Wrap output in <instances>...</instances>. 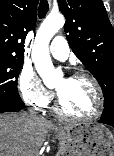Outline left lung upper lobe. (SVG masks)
Instances as JSON below:
<instances>
[{"instance_id":"obj_1","label":"left lung upper lobe","mask_w":114,"mask_h":156,"mask_svg":"<svg viewBox=\"0 0 114 156\" xmlns=\"http://www.w3.org/2000/svg\"><path fill=\"white\" fill-rule=\"evenodd\" d=\"M58 4L72 51L102 88L101 118L114 120V29L104 4L102 0H58Z\"/></svg>"}]
</instances>
